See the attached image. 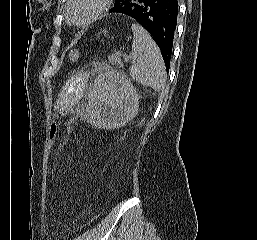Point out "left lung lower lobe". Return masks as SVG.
Instances as JSON below:
<instances>
[{"label": "left lung lower lobe", "mask_w": 257, "mask_h": 240, "mask_svg": "<svg viewBox=\"0 0 257 240\" xmlns=\"http://www.w3.org/2000/svg\"><path fill=\"white\" fill-rule=\"evenodd\" d=\"M110 12L133 18L150 33L161 50L168 72L177 24V0H122Z\"/></svg>", "instance_id": "1"}]
</instances>
